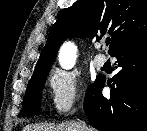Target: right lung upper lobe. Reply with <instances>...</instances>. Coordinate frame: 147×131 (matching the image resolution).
I'll use <instances>...</instances> for the list:
<instances>
[{
    "label": "right lung upper lobe",
    "instance_id": "obj_1",
    "mask_svg": "<svg viewBox=\"0 0 147 131\" xmlns=\"http://www.w3.org/2000/svg\"><path fill=\"white\" fill-rule=\"evenodd\" d=\"M106 33L112 36L110 54L147 34V0H81L62 10L33 75L50 69L64 39L72 36L99 39Z\"/></svg>",
    "mask_w": 147,
    "mask_h": 131
}]
</instances>
